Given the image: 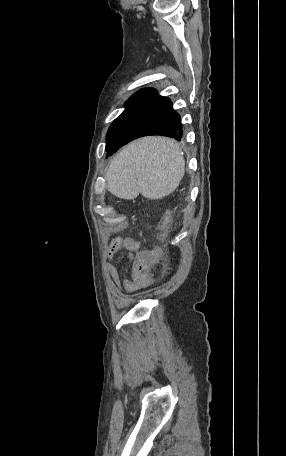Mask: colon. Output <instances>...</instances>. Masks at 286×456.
Here are the masks:
<instances>
[{
	"label": "colon",
	"instance_id": "1",
	"mask_svg": "<svg viewBox=\"0 0 286 456\" xmlns=\"http://www.w3.org/2000/svg\"><path fill=\"white\" fill-rule=\"evenodd\" d=\"M163 259V252L160 248L146 250L135 256L131 278L139 287L149 286L153 281V269L159 266Z\"/></svg>",
	"mask_w": 286,
	"mask_h": 456
}]
</instances>
